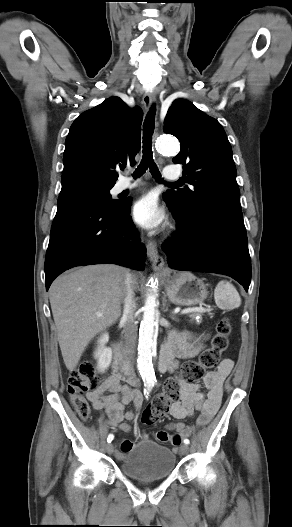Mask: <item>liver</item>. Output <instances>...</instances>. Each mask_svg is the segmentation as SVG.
<instances>
[{"label": "liver", "instance_id": "1", "mask_svg": "<svg viewBox=\"0 0 292 527\" xmlns=\"http://www.w3.org/2000/svg\"><path fill=\"white\" fill-rule=\"evenodd\" d=\"M126 274L127 270L117 265H91L72 270L52 283L51 310L69 371L75 370L89 342L120 317ZM133 284L138 285L136 275Z\"/></svg>", "mask_w": 292, "mask_h": 527}]
</instances>
